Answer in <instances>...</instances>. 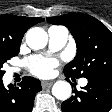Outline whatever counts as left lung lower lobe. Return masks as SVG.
Returning a JSON list of instances; mask_svg holds the SVG:
<instances>
[{
	"label": "left lung lower lobe",
	"mask_w": 112,
	"mask_h": 112,
	"mask_svg": "<svg viewBox=\"0 0 112 112\" xmlns=\"http://www.w3.org/2000/svg\"><path fill=\"white\" fill-rule=\"evenodd\" d=\"M65 73V72H64ZM67 77H71L65 73ZM88 84L62 103L63 112H109L112 108V77H89Z\"/></svg>",
	"instance_id": "left-lung-lower-lobe-1"
}]
</instances>
